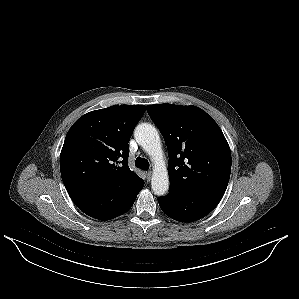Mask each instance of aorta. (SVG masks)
<instances>
[{
	"label": "aorta",
	"instance_id": "1",
	"mask_svg": "<svg viewBox=\"0 0 299 299\" xmlns=\"http://www.w3.org/2000/svg\"><path fill=\"white\" fill-rule=\"evenodd\" d=\"M134 137L153 160L151 187L154 194L162 196L168 191L169 177L163 161V150L159 133L153 125L142 123L135 128Z\"/></svg>",
	"mask_w": 299,
	"mask_h": 299
}]
</instances>
